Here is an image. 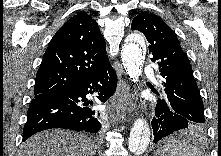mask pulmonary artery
<instances>
[{
  "label": "pulmonary artery",
  "mask_w": 221,
  "mask_h": 156,
  "mask_svg": "<svg viewBox=\"0 0 221 156\" xmlns=\"http://www.w3.org/2000/svg\"><path fill=\"white\" fill-rule=\"evenodd\" d=\"M150 72H152V69H151V67L150 66H146L145 67V73H150Z\"/></svg>",
  "instance_id": "1"
}]
</instances>
